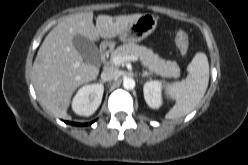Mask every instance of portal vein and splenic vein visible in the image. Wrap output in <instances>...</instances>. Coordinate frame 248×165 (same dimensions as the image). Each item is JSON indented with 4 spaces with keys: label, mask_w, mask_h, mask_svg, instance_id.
I'll use <instances>...</instances> for the list:
<instances>
[{
    "label": "portal vein and splenic vein",
    "mask_w": 248,
    "mask_h": 165,
    "mask_svg": "<svg viewBox=\"0 0 248 165\" xmlns=\"http://www.w3.org/2000/svg\"><path fill=\"white\" fill-rule=\"evenodd\" d=\"M138 60V57L135 56V55H126V56H114L112 58V62L115 64V65H120L126 61H137Z\"/></svg>",
    "instance_id": "obj_1"
}]
</instances>
